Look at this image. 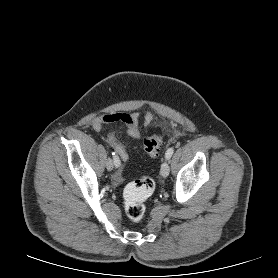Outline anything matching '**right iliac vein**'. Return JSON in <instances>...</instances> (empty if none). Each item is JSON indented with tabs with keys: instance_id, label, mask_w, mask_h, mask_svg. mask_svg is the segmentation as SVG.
Instances as JSON below:
<instances>
[{
	"instance_id": "right-iliac-vein-1",
	"label": "right iliac vein",
	"mask_w": 278,
	"mask_h": 278,
	"mask_svg": "<svg viewBox=\"0 0 278 278\" xmlns=\"http://www.w3.org/2000/svg\"><path fill=\"white\" fill-rule=\"evenodd\" d=\"M106 168H107V170H109V171L113 170L114 164H113V162H112L111 159H109V160L106 162Z\"/></svg>"
}]
</instances>
